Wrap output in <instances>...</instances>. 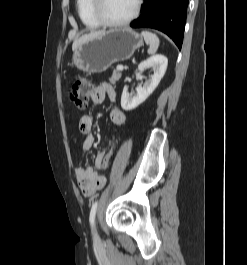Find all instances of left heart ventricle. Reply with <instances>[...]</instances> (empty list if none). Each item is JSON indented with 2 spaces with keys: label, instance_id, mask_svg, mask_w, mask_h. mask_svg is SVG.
Segmentation results:
<instances>
[{
  "label": "left heart ventricle",
  "instance_id": "1",
  "mask_svg": "<svg viewBox=\"0 0 247 265\" xmlns=\"http://www.w3.org/2000/svg\"><path fill=\"white\" fill-rule=\"evenodd\" d=\"M136 0H104L103 13L113 21L124 20L131 15Z\"/></svg>",
  "mask_w": 247,
  "mask_h": 265
}]
</instances>
